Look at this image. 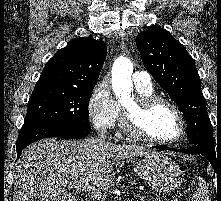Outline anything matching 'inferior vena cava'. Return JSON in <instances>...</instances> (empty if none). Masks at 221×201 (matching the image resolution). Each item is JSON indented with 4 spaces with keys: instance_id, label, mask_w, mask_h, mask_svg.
<instances>
[{
    "instance_id": "obj_1",
    "label": "inferior vena cava",
    "mask_w": 221,
    "mask_h": 201,
    "mask_svg": "<svg viewBox=\"0 0 221 201\" xmlns=\"http://www.w3.org/2000/svg\"><path fill=\"white\" fill-rule=\"evenodd\" d=\"M102 138H104V136H105V131L103 132L102 131V133H101V135H100Z\"/></svg>"
}]
</instances>
